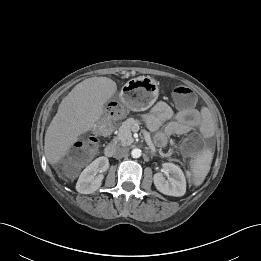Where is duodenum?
<instances>
[{
	"mask_svg": "<svg viewBox=\"0 0 261 261\" xmlns=\"http://www.w3.org/2000/svg\"><path fill=\"white\" fill-rule=\"evenodd\" d=\"M111 123L106 121L100 125L99 129L103 133H107L111 131ZM104 153L107 157H112L115 153V147L112 144H109L105 147Z\"/></svg>",
	"mask_w": 261,
	"mask_h": 261,
	"instance_id": "410a0bca",
	"label": "duodenum"
}]
</instances>
